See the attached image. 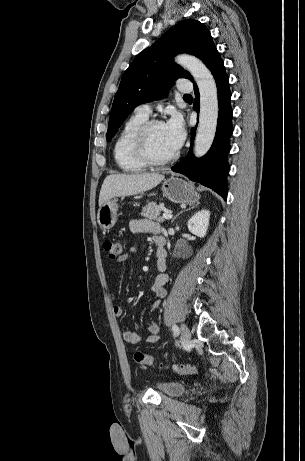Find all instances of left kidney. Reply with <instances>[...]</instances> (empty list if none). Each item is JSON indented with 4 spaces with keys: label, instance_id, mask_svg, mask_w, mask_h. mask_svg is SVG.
I'll return each instance as SVG.
<instances>
[{
    "label": "left kidney",
    "instance_id": "1",
    "mask_svg": "<svg viewBox=\"0 0 305 461\" xmlns=\"http://www.w3.org/2000/svg\"><path fill=\"white\" fill-rule=\"evenodd\" d=\"M209 219H210V212L209 210H201L194 214L192 218L188 221V229L189 231L200 237L203 238L208 230L209 226Z\"/></svg>",
    "mask_w": 305,
    "mask_h": 461
}]
</instances>
